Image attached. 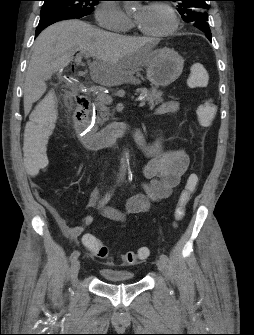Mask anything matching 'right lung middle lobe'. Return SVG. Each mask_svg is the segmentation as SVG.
Wrapping results in <instances>:
<instances>
[{
    "label": "right lung middle lobe",
    "mask_w": 254,
    "mask_h": 335,
    "mask_svg": "<svg viewBox=\"0 0 254 335\" xmlns=\"http://www.w3.org/2000/svg\"><path fill=\"white\" fill-rule=\"evenodd\" d=\"M41 16L49 13H66L76 18L90 14L100 0H43Z\"/></svg>",
    "instance_id": "obj_1"
}]
</instances>
